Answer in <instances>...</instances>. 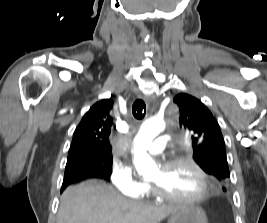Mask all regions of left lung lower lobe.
I'll return each instance as SVG.
<instances>
[{
	"mask_svg": "<svg viewBox=\"0 0 267 223\" xmlns=\"http://www.w3.org/2000/svg\"><path fill=\"white\" fill-rule=\"evenodd\" d=\"M219 190H226V185H219Z\"/></svg>",
	"mask_w": 267,
	"mask_h": 223,
	"instance_id": "left-lung-lower-lobe-1",
	"label": "left lung lower lobe"
}]
</instances>
